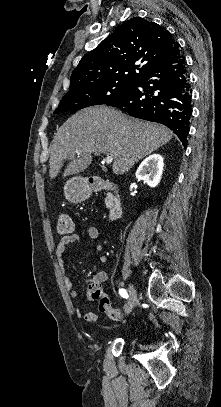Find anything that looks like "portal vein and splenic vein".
<instances>
[{
    "instance_id": "portal-vein-and-splenic-vein-1",
    "label": "portal vein and splenic vein",
    "mask_w": 221,
    "mask_h": 407,
    "mask_svg": "<svg viewBox=\"0 0 221 407\" xmlns=\"http://www.w3.org/2000/svg\"><path fill=\"white\" fill-rule=\"evenodd\" d=\"M112 161H113V157H112V156H107L106 158H103V159H102V162H103V163H106V164H111Z\"/></svg>"
}]
</instances>
